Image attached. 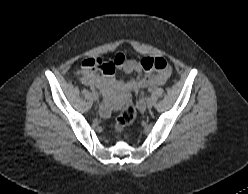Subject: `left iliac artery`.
Listing matches in <instances>:
<instances>
[{"mask_svg":"<svg viewBox=\"0 0 248 194\" xmlns=\"http://www.w3.org/2000/svg\"><path fill=\"white\" fill-rule=\"evenodd\" d=\"M149 92H152V89H149Z\"/></svg>","mask_w":248,"mask_h":194,"instance_id":"1","label":"left iliac artery"}]
</instances>
